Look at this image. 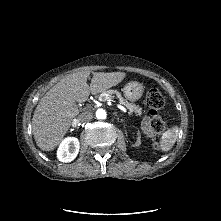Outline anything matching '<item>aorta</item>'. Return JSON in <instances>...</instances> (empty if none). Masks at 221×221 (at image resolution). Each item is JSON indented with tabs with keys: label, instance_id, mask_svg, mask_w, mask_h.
<instances>
[{
	"label": "aorta",
	"instance_id": "aorta-1",
	"mask_svg": "<svg viewBox=\"0 0 221 221\" xmlns=\"http://www.w3.org/2000/svg\"><path fill=\"white\" fill-rule=\"evenodd\" d=\"M96 117L97 119H100V120L106 119L107 117L106 111L104 109H98L96 111Z\"/></svg>",
	"mask_w": 221,
	"mask_h": 221
}]
</instances>
